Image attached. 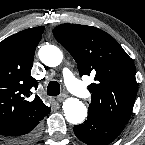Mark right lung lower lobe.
Masks as SVG:
<instances>
[{
	"instance_id": "right-lung-lower-lobe-1",
	"label": "right lung lower lobe",
	"mask_w": 145,
	"mask_h": 145,
	"mask_svg": "<svg viewBox=\"0 0 145 145\" xmlns=\"http://www.w3.org/2000/svg\"><path fill=\"white\" fill-rule=\"evenodd\" d=\"M51 108L48 107L44 114L35 122L14 130H0V138L13 141V142H28L36 138L39 132V123L47 114H49Z\"/></svg>"
}]
</instances>
